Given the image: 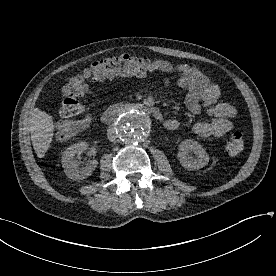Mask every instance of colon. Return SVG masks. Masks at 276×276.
Segmentation results:
<instances>
[{"label":"colon","instance_id":"1","mask_svg":"<svg viewBox=\"0 0 276 276\" xmlns=\"http://www.w3.org/2000/svg\"><path fill=\"white\" fill-rule=\"evenodd\" d=\"M152 72V61L129 54L106 58L93 63L83 74L71 78L62 89V121L55 130L59 140H66L86 129L90 123L85 116V106L79 101L89 90L90 84L119 75L145 76ZM245 147L242 133L234 132L226 145L229 155L240 154Z\"/></svg>","mask_w":276,"mask_h":276}]
</instances>
